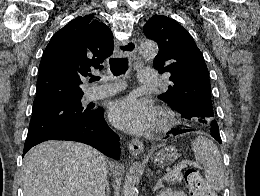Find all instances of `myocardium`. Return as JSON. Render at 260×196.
Returning a JSON list of instances; mask_svg holds the SVG:
<instances>
[{"label":"myocardium","instance_id":"obj_1","mask_svg":"<svg viewBox=\"0 0 260 196\" xmlns=\"http://www.w3.org/2000/svg\"><path fill=\"white\" fill-rule=\"evenodd\" d=\"M175 124L174 116L164 108H159L157 111L156 123L154 126L155 132H164Z\"/></svg>","mask_w":260,"mask_h":196}]
</instances>
